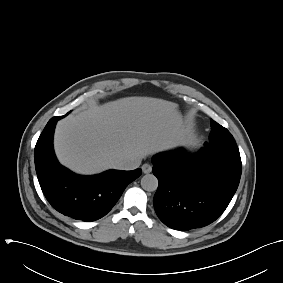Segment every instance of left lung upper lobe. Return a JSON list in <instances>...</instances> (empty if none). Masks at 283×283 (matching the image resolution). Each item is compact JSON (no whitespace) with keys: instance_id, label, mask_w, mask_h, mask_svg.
<instances>
[{"instance_id":"1","label":"left lung upper lobe","mask_w":283,"mask_h":283,"mask_svg":"<svg viewBox=\"0 0 283 283\" xmlns=\"http://www.w3.org/2000/svg\"><path fill=\"white\" fill-rule=\"evenodd\" d=\"M206 145L221 147L239 154L238 147L231 133L214 120H211L210 143H206Z\"/></svg>"}]
</instances>
